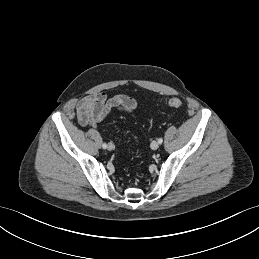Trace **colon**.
Returning <instances> with one entry per match:
<instances>
[{
	"label": "colon",
	"instance_id": "5ec220e1",
	"mask_svg": "<svg viewBox=\"0 0 259 259\" xmlns=\"http://www.w3.org/2000/svg\"><path fill=\"white\" fill-rule=\"evenodd\" d=\"M167 104H168L169 107L176 108V109H179V108L183 107L182 101L178 98H170L167 101Z\"/></svg>",
	"mask_w": 259,
	"mask_h": 259
}]
</instances>
